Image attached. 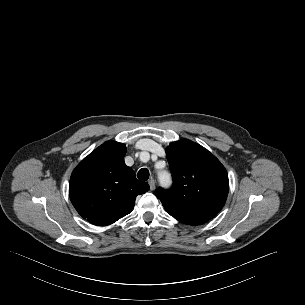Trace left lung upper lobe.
I'll return each mask as SVG.
<instances>
[{
  "label": "left lung upper lobe",
  "instance_id": "obj_1",
  "mask_svg": "<svg viewBox=\"0 0 305 305\" xmlns=\"http://www.w3.org/2000/svg\"><path fill=\"white\" fill-rule=\"evenodd\" d=\"M173 178L169 190L158 188L156 196L177 220L207 222L224 206L228 174L219 160L201 145L189 140L166 148Z\"/></svg>",
  "mask_w": 305,
  "mask_h": 305
}]
</instances>
